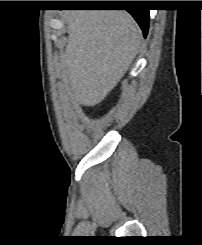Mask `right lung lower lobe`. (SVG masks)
<instances>
[{"label": "right lung lower lobe", "mask_w": 202, "mask_h": 245, "mask_svg": "<svg viewBox=\"0 0 202 245\" xmlns=\"http://www.w3.org/2000/svg\"><path fill=\"white\" fill-rule=\"evenodd\" d=\"M135 4V3H133ZM107 4H94V6H106ZM141 27L144 36L147 35L149 26V10L143 8H131L127 10Z\"/></svg>", "instance_id": "1"}]
</instances>
